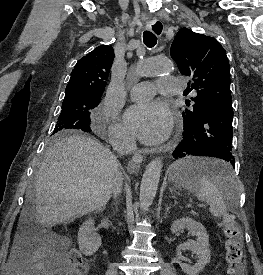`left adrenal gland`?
<instances>
[{"label":"left adrenal gland","instance_id":"left-adrenal-gland-1","mask_svg":"<svg viewBox=\"0 0 263 275\" xmlns=\"http://www.w3.org/2000/svg\"><path fill=\"white\" fill-rule=\"evenodd\" d=\"M170 208H171V206H166V213L169 212Z\"/></svg>","mask_w":263,"mask_h":275}]
</instances>
